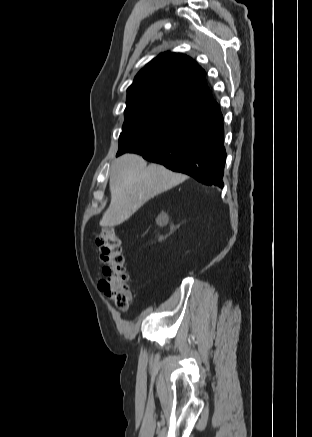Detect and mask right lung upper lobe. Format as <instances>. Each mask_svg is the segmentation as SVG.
Segmentation results:
<instances>
[{"mask_svg": "<svg viewBox=\"0 0 312 437\" xmlns=\"http://www.w3.org/2000/svg\"><path fill=\"white\" fill-rule=\"evenodd\" d=\"M152 103L199 114L216 101L206 85L204 70L195 61L183 54L165 52L141 69L127 89V107Z\"/></svg>", "mask_w": 312, "mask_h": 437, "instance_id": "cb5924a9", "label": "right lung upper lobe"}]
</instances>
